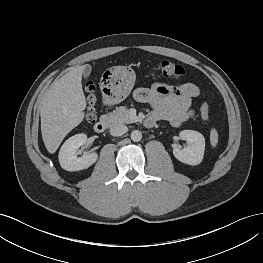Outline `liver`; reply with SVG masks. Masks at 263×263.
I'll use <instances>...</instances> for the list:
<instances>
[{"instance_id":"liver-1","label":"liver","mask_w":263,"mask_h":263,"mask_svg":"<svg viewBox=\"0 0 263 263\" xmlns=\"http://www.w3.org/2000/svg\"><path fill=\"white\" fill-rule=\"evenodd\" d=\"M84 66L71 67L45 92L40 109L41 133L49 153H55L65 136L84 119L86 100L82 90Z\"/></svg>"}]
</instances>
